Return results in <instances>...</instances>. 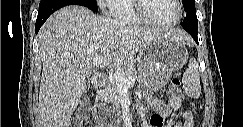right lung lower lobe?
Masks as SVG:
<instances>
[{
    "label": "right lung lower lobe",
    "mask_w": 243,
    "mask_h": 127,
    "mask_svg": "<svg viewBox=\"0 0 243 127\" xmlns=\"http://www.w3.org/2000/svg\"><path fill=\"white\" fill-rule=\"evenodd\" d=\"M67 5L84 6L79 0H51L45 4L39 5V11L35 25L36 33L53 12Z\"/></svg>",
    "instance_id": "obj_1"
}]
</instances>
